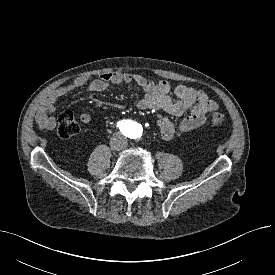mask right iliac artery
Listing matches in <instances>:
<instances>
[{
  "label": "right iliac artery",
  "instance_id": "82829eb1",
  "mask_svg": "<svg viewBox=\"0 0 275 275\" xmlns=\"http://www.w3.org/2000/svg\"><path fill=\"white\" fill-rule=\"evenodd\" d=\"M117 127H122V124L120 122L117 123Z\"/></svg>",
  "mask_w": 275,
  "mask_h": 275
}]
</instances>
